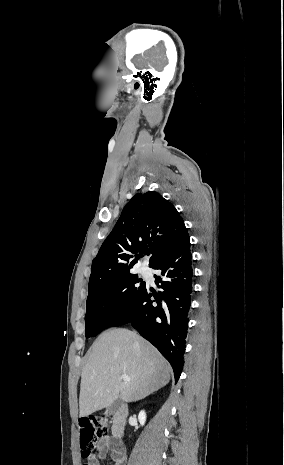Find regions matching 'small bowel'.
I'll list each match as a JSON object with an SVG mask.
<instances>
[{"instance_id": "1", "label": "small bowel", "mask_w": 284, "mask_h": 465, "mask_svg": "<svg viewBox=\"0 0 284 465\" xmlns=\"http://www.w3.org/2000/svg\"><path fill=\"white\" fill-rule=\"evenodd\" d=\"M99 458L104 459L110 452V442L108 438L101 440L96 447ZM113 465H123V457L116 451L112 452ZM88 465H97L94 459H92Z\"/></svg>"}]
</instances>
